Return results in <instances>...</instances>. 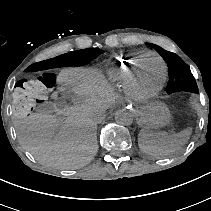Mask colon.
I'll return each mask as SVG.
<instances>
[{"instance_id":"obj_1","label":"colon","mask_w":211,"mask_h":211,"mask_svg":"<svg viewBox=\"0 0 211 211\" xmlns=\"http://www.w3.org/2000/svg\"><path fill=\"white\" fill-rule=\"evenodd\" d=\"M56 85V76L50 72L40 73L33 79L20 80L13 94L12 108L16 116H30Z\"/></svg>"}]
</instances>
